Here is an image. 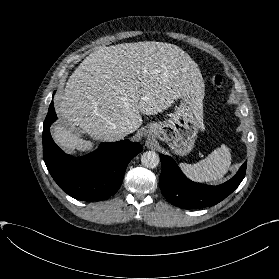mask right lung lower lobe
<instances>
[{
	"label": "right lung lower lobe",
	"instance_id": "right-lung-lower-lobe-1",
	"mask_svg": "<svg viewBox=\"0 0 279 279\" xmlns=\"http://www.w3.org/2000/svg\"><path fill=\"white\" fill-rule=\"evenodd\" d=\"M56 118L51 102L43 124V158L55 182L77 200L101 201L114 195L128 163L142 146L129 140L101 143L96 151L75 158L65 154L50 135V125Z\"/></svg>",
	"mask_w": 279,
	"mask_h": 279
}]
</instances>
